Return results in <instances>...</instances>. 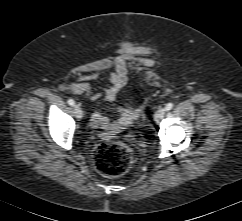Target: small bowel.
I'll use <instances>...</instances> for the list:
<instances>
[{
    "label": "small bowel",
    "mask_w": 242,
    "mask_h": 221,
    "mask_svg": "<svg viewBox=\"0 0 242 221\" xmlns=\"http://www.w3.org/2000/svg\"><path fill=\"white\" fill-rule=\"evenodd\" d=\"M132 60L130 56H121L116 60L114 71L108 76V87L103 91H95L91 88L90 81L97 77L96 72L78 74L75 81L69 84V89L74 94L85 95L90 101L104 98L107 102H113L117 93L127 82V64ZM90 127L101 132H110L112 124L102 114L95 112L90 117Z\"/></svg>",
    "instance_id": "obj_1"
}]
</instances>
